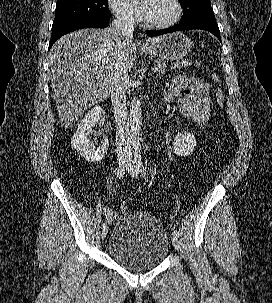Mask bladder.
Listing matches in <instances>:
<instances>
[{
    "mask_svg": "<svg viewBox=\"0 0 272 303\" xmlns=\"http://www.w3.org/2000/svg\"><path fill=\"white\" fill-rule=\"evenodd\" d=\"M107 251L115 262L129 270H150L166 258L168 234L155 216L129 211L115 222Z\"/></svg>",
    "mask_w": 272,
    "mask_h": 303,
    "instance_id": "1",
    "label": "bladder"
}]
</instances>
